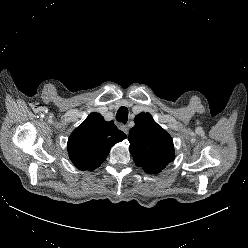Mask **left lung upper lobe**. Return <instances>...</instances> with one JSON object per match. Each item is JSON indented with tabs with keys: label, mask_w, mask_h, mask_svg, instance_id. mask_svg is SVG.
<instances>
[{
	"label": "left lung upper lobe",
	"mask_w": 248,
	"mask_h": 248,
	"mask_svg": "<svg viewBox=\"0 0 248 248\" xmlns=\"http://www.w3.org/2000/svg\"><path fill=\"white\" fill-rule=\"evenodd\" d=\"M134 122L128 135L129 150L138 167L157 174L174 159L172 138L149 113L138 114Z\"/></svg>",
	"instance_id": "5c2ea615"
}]
</instances>
